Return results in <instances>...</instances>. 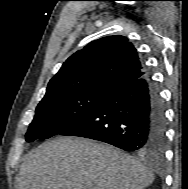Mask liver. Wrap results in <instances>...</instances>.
Masks as SVG:
<instances>
[{
    "mask_svg": "<svg viewBox=\"0 0 188 189\" xmlns=\"http://www.w3.org/2000/svg\"><path fill=\"white\" fill-rule=\"evenodd\" d=\"M153 180L140 161L117 148L58 137L26 155L17 189H144Z\"/></svg>",
    "mask_w": 188,
    "mask_h": 189,
    "instance_id": "1",
    "label": "liver"
}]
</instances>
